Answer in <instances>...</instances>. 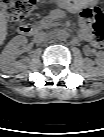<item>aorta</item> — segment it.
I'll use <instances>...</instances> for the list:
<instances>
[{
	"label": "aorta",
	"instance_id": "obj_1",
	"mask_svg": "<svg viewBox=\"0 0 104 137\" xmlns=\"http://www.w3.org/2000/svg\"><path fill=\"white\" fill-rule=\"evenodd\" d=\"M55 34H56V37H57L58 39H60V40H63V39H65V38H67V36H68L67 32L64 31V30H57V31L55 32Z\"/></svg>",
	"mask_w": 104,
	"mask_h": 137
}]
</instances>
